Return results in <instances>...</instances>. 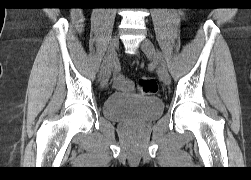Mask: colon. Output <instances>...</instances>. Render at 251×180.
Returning a JSON list of instances; mask_svg holds the SVG:
<instances>
[{"instance_id":"obj_1","label":"colon","mask_w":251,"mask_h":180,"mask_svg":"<svg viewBox=\"0 0 251 180\" xmlns=\"http://www.w3.org/2000/svg\"><path fill=\"white\" fill-rule=\"evenodd\" d=\"M157 82L150 77H142L137 83V90L143 95H151L157 92Z\"/></svg>"}]
</instances>
